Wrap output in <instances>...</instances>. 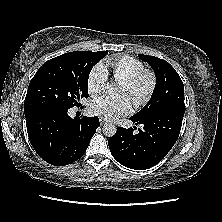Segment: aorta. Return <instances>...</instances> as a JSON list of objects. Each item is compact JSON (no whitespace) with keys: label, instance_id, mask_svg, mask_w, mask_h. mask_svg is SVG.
Listing matches in <instances>:
<instances>
[{"label":"aorta","instance_id":"762f6f07","mask_svg":"<svg viewBox=\"0 0 222 222\" xmlns=\"http://www.w3.org/2000/svg\"><path fill=\"white\" fill-rule=\"evenodd\" d=\"M108 92H113L116 90V87L114 85H107ZM116 126L112 123H106L103 126V134L107 137H112L116 133Z\"/></svg>","mask_w":222,"mask_h":222}]
</instances>
